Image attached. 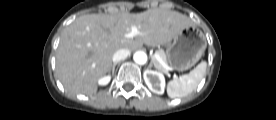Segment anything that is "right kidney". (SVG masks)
<instances>
[{"label": "right kidney", "instance_id": "right-kidney-1", "mask_svg": "<svg viewBox=\"0 0 276 120\" xmlns=\"http://www.w3.org/2000/svg\"><path fill=\"white\" fill-rule=\"evenodd\" d=\"M110 80H111V76L107 75V76L101 77L98 80V84L99 85H107L110 82Z\"/></svg>", "mask_w": 276, "mask_h": 120}]
</instances>
